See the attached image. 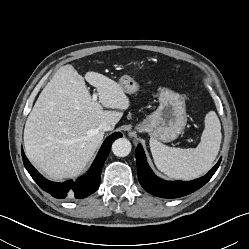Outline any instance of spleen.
Listing matches in <instances>:
<instances>
[{
    "label": "spleen",
    "mask_w": 249,
    "mask_h": 249,
    "mask_svg": "<svg viewBox=\"0 0 249 249\" xmlns=\"http://www.w3.org/2000/svg\"><path fill=\"white\" fill-rule=\"evenodd\" d=\"M221 124L214 111L205 116V129L196 148H175L150 139L156 167L171 178L191 180L208 171L220 150Z\"/></svg>",
    "instance_id": "1"
}]
</instances>
